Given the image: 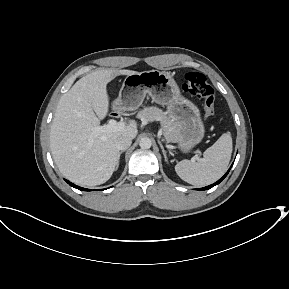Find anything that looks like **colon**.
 <instances>
[{"mask_svg":"<svg viewBox=\"0 0 289 289\" xmlns=\"http://www.w3.org/2000/svg\"><path fill=\"white\" fill-rule=\"evenodd\" d=\"M182 90L188 94L202 98L204 116L210 118L215 112V91L206 76L199 72H186L183 76Z\"/></svg>","mask_w":289,"mask_h":289,"instance_id":"obj_1","label":"colon"}]
</instances>
